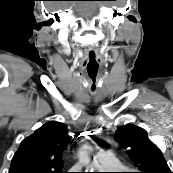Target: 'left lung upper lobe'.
Listing matches in <instances>:
<instances>
[{"instance_id":"left-lung-upper-lobe-1","label":"left lung upper lobe","mask_w":173,"mask_h":173,"mask_svg":"<svg viewBox=\"0 0 173 173\" xmlns=\"http://www.w3.org/2000/svg\"><path fill=\"white\" fill-rule=\"evenodd\" d=\"M115 139L127 150L140 173H172L160 149L149 140L144 129L125 125L115 132Z\"/></svg>"}]
</instances>
